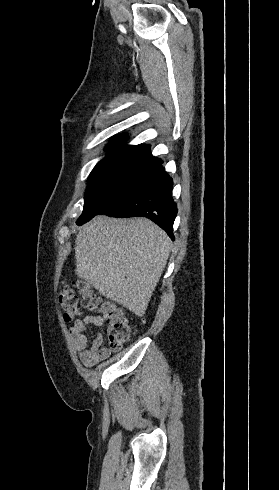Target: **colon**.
Wrapping results in <instances>:
<instances>
[{"label":"colon","instance_id":"5ec220e1","mask_svg":"<svg viewBox=\"0 0 279 490\" xmlns=\"http://www.w3.org/2000/svg\"><path fill=\"white\" fill-rule=\"evenodd\" d=\"M77 296L73 289L64 284L58 291V300L64 312L66 322L74 321L83 315V310L79 304L93 313H98L107 323L106 335L109 340L111 350L120 351L135 335L136 328L129 323L127 316L120 309L113 305L103 302L94 292L89 283L81 282L78 284Z\"/></svg>","mask_w":279,"mask_h":490}]
</instances>
